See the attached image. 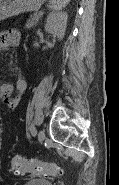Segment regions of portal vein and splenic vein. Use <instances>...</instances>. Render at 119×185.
<instances>
[{
    "label": "portal vein and splenic vein",
    "instance_id": "1",
    "mask_svg": "<svg viewBox=\"0 0 119 185\" xmlns=\"http://www.w3.org/2000/svg\"><path fill=\"white\" fill-rule=\"evenodd\" d=\"M39 14H40V15H43V12H42V11H40V12H39Z\"/></svg>",
    "mask_w": 119,
    "mask_h": 185
}]
</instances>
